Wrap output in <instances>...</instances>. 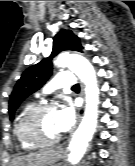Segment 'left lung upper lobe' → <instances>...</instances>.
<instances>
[{"instance_id": "5c2ea615", "label": "left lung upper lobe", "mask_w": 135, "mask_h": 166, "mask_svg": "<svg viewBox=\"0 0 135 166\" xmlns=\"http://www.w3.org/2000/svg\"><path fill=\"white\" fill-rule=\"evenodd\" d=\"M52 53L48 58L29 67L18 80L9 102L10 120H13L19 104L30 94L40 89L52 74V58L66 50L82 52L79 38L70 30H61L53 38Z\"/></svg>"}]
</instances>
